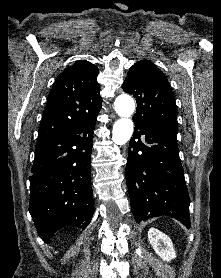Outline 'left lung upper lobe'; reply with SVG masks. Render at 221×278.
<instances>
[{"mask_svg": "<svg viewBox=\"0 0 221 278\" xmlns=\"http://www.w3.org/2000/svg\"><path fill=\"white\" fill-rule=\"evenodd\" d=\"M122 88L136 98L134 122L149 127L178 128L175 98L168 79L152 62L135 63Z\"/></svg>", "mask_w": 221, "mask_h": 278, "instance_id": "obj_1", "label": "left lung upper lobe"}]
</instances>
